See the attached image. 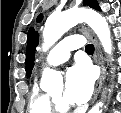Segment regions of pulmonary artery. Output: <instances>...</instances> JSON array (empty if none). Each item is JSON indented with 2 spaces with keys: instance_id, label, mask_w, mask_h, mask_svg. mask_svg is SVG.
<instances>
[{
  "instance_id": "1",
  "label": "pulmonary artery",
  "mask_w": 121,
  "mask_h": 113,
  "mask_svg": "<svg viewBox=\"0 0 121 113\" xmlns=\"http://www.w3.org/2000/svg\"><path fill=\"white\" fill-rule=\"evenodd\" d=\"M83 38L79 35H71L60 41L46 57V65L58 66L65 63L71 51L81 48Z\"/></svg>"
}]
</instances>
